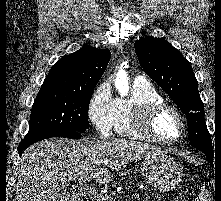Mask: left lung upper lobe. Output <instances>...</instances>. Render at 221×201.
Masks as SVG:
<instances>
[{"mask_svg": "<svg viewBox=\"0 0 221 201\" xmlns=\"http://www.w3.org/2000/svg\"><path fill=\"white\" fill-rule=\"evenodd\" d=\"M134 47L143 70L186 114L190 144L207 155L213 154L198 82L189 61L162 38L146 37L136 41Z\"/></svg>", "mask_w": 221, "mask_h": 201, "instance_id": "5c2ea615", "label": "left lung upper lobe"}]
</instances>
